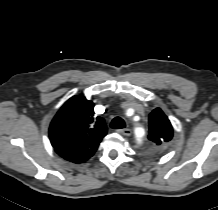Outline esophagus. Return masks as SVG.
Listing matches in <instances>:
<instances>
[{
  "mask_svg": "<svg viewBox=\"0 0 218 210\" xmlns=\"http://www.w3.org/2000/svg\"><path fill=\"white\" fill-rule=\"evenodd\" d=\"M117 132L119 134L125 135V136H129L131 134V130L128 128H124V129H119L117 130Z\"/></svg>",
  "mask_w": 218,
  "mask_h": 210,
  "instance_id": "esophagus-1",
  "label": "esophagus"
}]
</instances>
